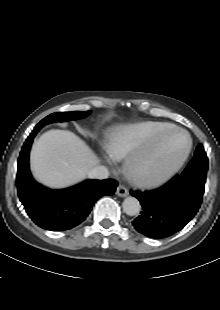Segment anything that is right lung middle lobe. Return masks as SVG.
Here are the masks:
<instances>
[{
	"instance_id": "obj_1",
	"label": "right lung middle lobe",
	"mask_w": 220,
	"mask_h": 310,
	"mask_svg": "<svg viewBox=\"0 0 220 310\" xmlns=\"http://www.w3.org/2000/svg\"><path fill=\"white\" fill-rule=\"evenodd\" d=\"M90 112L91 111L56 112V113L50 114L49 116L41 120L36 126V128L40 130L43 126H45L46 124L52 123V122H62V121H67V120L81 119L89 115Z\"/></svg>"
}]
</instances>
